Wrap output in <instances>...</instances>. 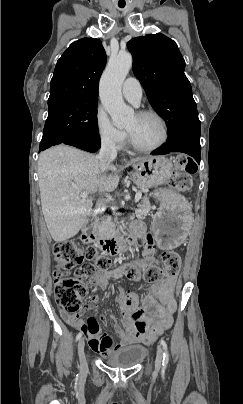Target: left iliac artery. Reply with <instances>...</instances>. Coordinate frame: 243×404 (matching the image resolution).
I'll use <instances>...</instances> for the list:
<instances>
[{
	"label": "left iliac artery",
	"instance_id": "left-iliac-artery-1",
	"mask_svg": "<svg viewBox=\"0 0 243 404\" xmlns=\"http://www.w3.org/2000/svg\"><path fill=\"white\" fill-rule=\"evenodd\" d=\"M160 343H161V345H162V347H163V349H164V354H163V366H164V368L167 366V364H168V361H169V354H168V349H167V344H166V342L163 340V339H161L160 340Z\"/></svg>",
	"mask_w": 243,
	"mask_h": 404
}]
</instances>
